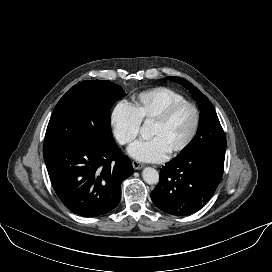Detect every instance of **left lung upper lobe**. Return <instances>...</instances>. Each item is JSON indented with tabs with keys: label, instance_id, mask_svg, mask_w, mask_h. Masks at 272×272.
Returning a JSON list of instances; mask_svg holds the SVG:
<instances>
[{
	"label": "left lung upper lobe",
	"instance_id": "5c2ea615",
	"mask_svg": "<svg viewBox=\"0 0 272 272\" xmlns=\"http://www.w3.org/2000/svg\"><path fill=\"white\" fill-rule=\"evenodd\" d=\"M167 79L178 82L189 89L200 109L197 133L178 156L196 154L224 161L226 138L210 100L198 88L185 79L180 77H167Z\"/></svg>",
	"mask_w": 272,
	"mask_h": 272
}]
</instances>
